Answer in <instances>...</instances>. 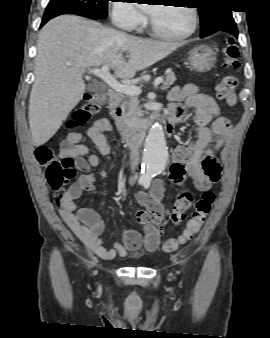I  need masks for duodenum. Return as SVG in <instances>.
<instances>
[{
	"mask_svg": "<svg viewBox=\"0 0 270 338\" xmlns=\"http://www.w3.org/2000/svg\"><path fill=\"white\" fill-rule=\"evenodd\" d=\"M108 101L110 110L118 117V126L121 130V133L124 136L131 135V129L122 119V108L120 106V95L115 90L108 91ZM158 123L161 125L162 130L167 134L173 133V124L169 117L165 116L163 113H158L156 115ZM151 127L150 123H143L135 129V141L137 147H140L143 142L145 132Z\"/></svg>",
	"mask_w": 270,
	"mask_h": 338,
	"instance_id": "1",
	"label": "duodenum"
}]
</instances>
